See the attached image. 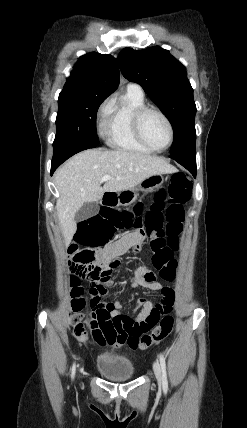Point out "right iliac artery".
<instances>
[{
	"label": "right iliac artery",
	"instance_id": "1",
	"mask_svg": "<svg viewBox=\"0 0 247 428\" xmlns=\"http://www.w3.org/2000/svg\"><path fill=\"white\" fill-rule=\"evenodd\" d=\"M75 370H76V365L74 363L73 366H72V374H71L72 378H74Z\"/></svg>",
	"mask_w": 247,
	"mask_h": 428
}]
</instances>
